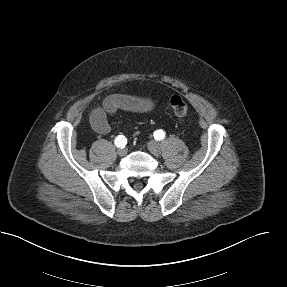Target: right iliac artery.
Listing matches in <instances>:
<instances>
[{
	"label": "right iliac artery",
	"mask_w": 287,
	"mask_h": 287,
	"mask_svg": "<svg viewBox=\"0 0 287 287\" xmlns=\"http://www.w3.org/2000/svg\"><path fill=\"white\" fill-rule=\"evenodd\" d=\"M114 143L117 147L124 148L125 145L127 144V139L123 135H118L115 138Z\"/></svg>",
	"instance_id": "obj_1"
}]
</instances>
